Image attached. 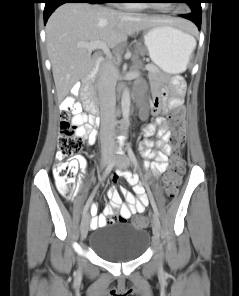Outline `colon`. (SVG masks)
<instances>
[{
    "mask_svg": "<svg viewBox=\"0 0 239 296\" xmlns=\"http://www.w3.org/2000/svg\"><path fill=\"white\" fill-rule=\"evenodd\" d=\"M181 79L180 77H175ZM174 78V79H175ZM78 105L72 98L61 103L58 152L54 166L56 185L66 199H72L75 194L76 176L79 168L78 155L83 148V139L78 134L80 123L75 120ZM184 109L178 107L170 114L172 122L171 144L174 148L168 171L163 177V189L167 199L174 198L179 190L181 177L184 173V149L186 136L184 132ZM113 222H122L119 216H111ZM149 222L146 215L135 216L132 223L136 226H145Z\"/></svg>",
    "mask_w": 239,
    "mask_h": 296,
    "instance_id": "5ec220e1",
    "label": "colon"
}]
</instances>
